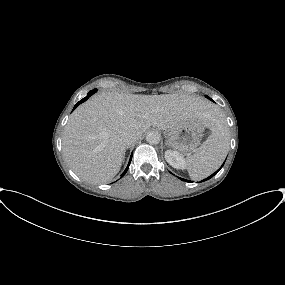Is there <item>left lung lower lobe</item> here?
Returning a JSON list of instances; mask_svg holds the SVG:
<instances>
[{
	"instance_id": "1",
	"label": "left lung lower lobe",
	"mask_w": 285,
	"mask_h": 285,
	"mask_svg": "<svg viewBox=\"0 0 285 285\" xmlns=\"http://www.w3.org/2000/svg\"><path fill=\"white\" fill-rule=\"evenodd\" d=\"M219 171V170H218ZM218 171H216L215 173H213L211 176H209L208 178H206L205 180H208V179H210L211 177H213ZM181 180H183V181H187V180H184V179H182V178H180ZM204 180V181H205Z\"/></svg>"
}]
</instances>
